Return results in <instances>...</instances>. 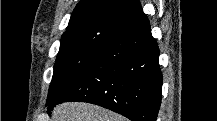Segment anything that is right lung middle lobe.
Wrapping results in <instances>:
<instances>
[{
    "label": "right lung middle lobe",
    "mask_w": 217,
    "mask_h": 121,
    "mask_svg": "<svg viewBox=\"0 0 217 121\" xmlns=\"http://www.w3.org/2000/svg\"><path fill=\"white\" fill-rule=\"evenodd\" d=\"M125 25L121 21L99 20L66 31L61 38L47 99L56 96L89 67Z\"/></svg>",
    "instance_id": "1"
}]
</instances>
